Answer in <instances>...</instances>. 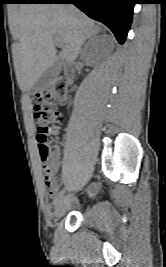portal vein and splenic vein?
<instances>
[{
    "instance_id": "obj_1",
    "label": "portal vein and splenic vein",
    "mask_w": 166,
    "mask_h": 267,
    "mask_svg": "<svg viewBox=\"0 0 166 267\" xmlns=\"http://www.w3.org/2000/svg\"><path fill=\"white\" fill-rule=\"evenodd\" d=\"M55 41L59 45H62L63 44V41H62V39L60 37H55Z\"/></svg>"
}]
</instances>
